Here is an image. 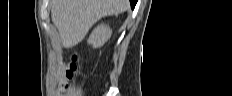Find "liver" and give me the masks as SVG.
Here are the masks:
<instances>
[{
	"label": "liver",
	"instance_id": "6515ba94",
	"mask_svg": "<svg viewBox=\"0 0 232 96\" xmlns=\"http://www.w3.org/2000/svg\"><path fill=\"white\" fill-rule=\"evenodd\" d=\"M129 0H53L51 18L65 48L81 42L101 18L129 8Z\"/></svg>",
	"mask_w": 232,
	"mask_h": 96
}]
</instances>
